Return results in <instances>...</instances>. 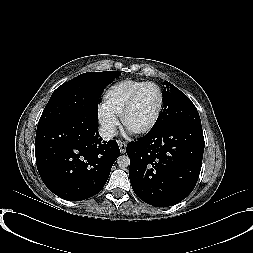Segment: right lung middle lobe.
<instances>
[{"label":"right lung middle lobe","mask_w":253,"mask_h":253,"mask_svg":"<svg viewBox=\"0 0 253 253\" xmlns=\"http://www.w3.org/2000/svg\"><path fill=\"white\" fill-rule=\"evenodd\" d=\"M119 71L87 72L59 86L48 101L38 126L73 115L97 118V104L103 88L114 81Z\"/></svg>","instance_id":"1"}]
</instances>
